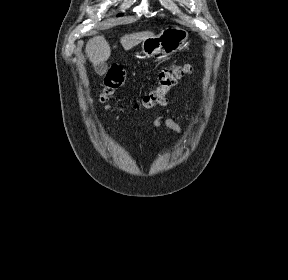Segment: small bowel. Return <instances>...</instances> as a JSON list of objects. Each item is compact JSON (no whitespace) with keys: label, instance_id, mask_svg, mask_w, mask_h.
<instances>
[{"label":"small bowel","instance_id":"obj_1","mask_svg":"<svg viewBox=\"0 0 288 280\" xmlns=\"http://www.w3.org/2000/svg\"><path fill=\"white\" fill-rule=\"evenodd\" d=\"M152 123L155 127H167L172 129L176 133H180L182 131V128L178 123H176L173 119L165 116L156 117Z\"/></svg>","mask_w":288,"mask_h":280}]
</instances>
